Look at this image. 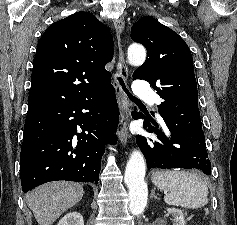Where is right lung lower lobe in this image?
Listing matches in <instances>:
<instances>
[{"mask_svg":"<svg viewBox=\"0 0 237 225\" xmlns=\"http://www.w3.org/2000/svg\"><path fill=\"white\" fill-rule=\"evenodd\" d=\"M118 122L111 84L69 103L29 110L20 157L22 190L56 180L97 184L104 146L116 143Z\"/></svg>","mask_w":237,"mask_h":225,"instance_id":"obj_1","label":"right lung lower lobe"}]
</instances>
